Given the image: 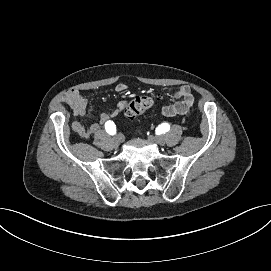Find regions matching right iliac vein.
<instances>
[{
	"label": "right iliac vein",
	"instance_id": "1",
	"mask_svg": "<svg viewBox=\"0 0 271 271\" xmlns=\"http://www.w3.org/2000/svg\"><path fill=\"white\" fill-rule=\"evenodd\" d=\"M121 140H122L121 135H117V136L114 138L113 142H114V144H115L116 146H118V145L121 143Z\"/></svg>",
	"mask_w": 271,
	"mask_h": 271
}]
</instances>
